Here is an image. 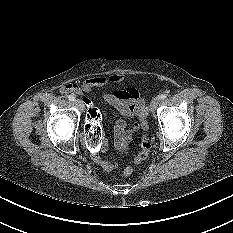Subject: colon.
I'll return each instance as SVG.
<instances>
[{
    "instance_id": "1",
    "label": "colon",
    "mask_w": 233,
    "mask_h": 233,
    "mask_svg": "<svg viewBox=\"0 0 233 233\" xmlns=\"http://www.w3.org/2000/svg\"><path fill=\"white\" fill-rule=\"evenodd\" d=\"M140 127L146 131L148 129V122L143 119L140 123ZM85 136H84V146L86 151L94 155L103 146V128L101 124L100 111L97 107L92 106L87 111V118L85 121ZM152 143L147 134H144L141 138L140 151L134 159L135 164H139L147 159ZM132 174V168L126 167L123 171V175L128 177Z\"/></svg>"
}]
</instances>
